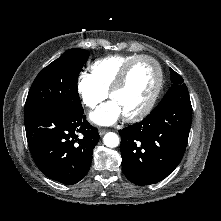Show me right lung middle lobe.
Wrapping results in <instances>:
<instances>
[{
  "label": "right lung middle lobe",
  "mask_w": 221,
  "mask_h": 221,
  "mask_svg": "<svg viewBox=\"0 0 221 221\" xmlns=\"http://www.w3.org/2000/svg\"><path fill=\"white\" fill-rule=\"evenodd\" d=\"M89 56L84 49H70L42 69L29 90L25 115L53 107L75 112L83 110L77 79Z\"/></svg>",
  "instance_id": "right-lung-middle-lobe-1"
}]
</instances>
